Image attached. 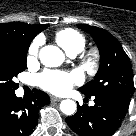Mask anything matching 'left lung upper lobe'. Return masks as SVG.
Wrapping results in <instances>:
<instances>
[{"instance_id": "left-lung-upper-lobe-1", "label": "left lung upper lobe", "mask_w": 136, "mask_h": 136, "mask_svg": "<svg viewBox=\"0 0 136 136\" xmlns=\"http://www.w3.org/2000/svg\"><path fill=\"white\" fill-rule=\"evenodd\" d=\"M78 27L91 34L100 51V67L94 80L79 90L88 97H131L134 91L132 67L119 41L104 29L84 24Z\"/></svg>"}]
</instances>
